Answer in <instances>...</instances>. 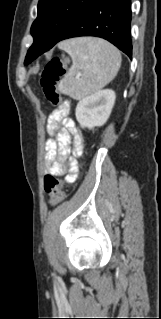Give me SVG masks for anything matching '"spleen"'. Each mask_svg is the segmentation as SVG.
<instances>
[{
  "label": "spleen",
  "instance_id": "obj_1",
  "mask_svg": "<svg viewBox=\"0 0 161 319\" xmlns=\"http://www.w3.org/2000/svg\"><path fill=\"white\" fill-rule=\"evenodd\" d=\"M59 48L72 58V66L58 91L81 100L106 86L121 66L120 52L103 39L81 37L63 41Z\"/></svg>",
  "mask_w": 161,
  "mask_h": 319
}]
</instances>
